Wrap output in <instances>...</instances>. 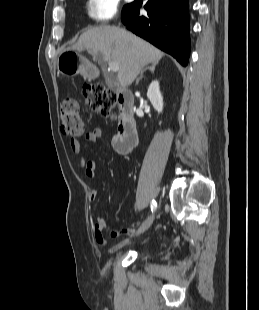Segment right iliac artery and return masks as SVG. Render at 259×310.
<instances>
[{
    "instance_id": "obj_1",
    "label": "right iliac artery",
    "mask_w": 259,
    "mask_h": 310,
    "mask_svg": "<svg viewBox=\"0 0 259 310\" xmlns=\"http://www.w3.org/2000/svg\"><path fill=\"white\" fill-rule=\"evenodd\" d=\"M156 208H157V203L155 202V200H152L151 201V210H152V212L155 211Z\"/></svg>"
}]
</instances>
